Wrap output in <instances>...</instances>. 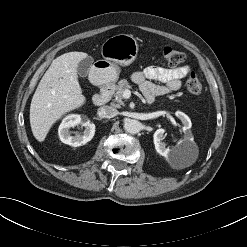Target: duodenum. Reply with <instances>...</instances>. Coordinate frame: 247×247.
Listing matches in <instances>:
<instances>
[{"mask_svg": "<svg viewBox=\"0 0 247 247\" xmlns=\"http://www.w3.org/2000/svg\"><path fill=\"white\" fill-rule=\"evenodd\" d=\"M112 91H113V88L111 85L103 86L100 89V91L96 95H94L93 103L97 106L105 105L109 101L112 95Z\"/></svg>", "mask_w": 247, "mask_h": 247, "instance_id": "1", "label": "duodenum"}]
</instances>
